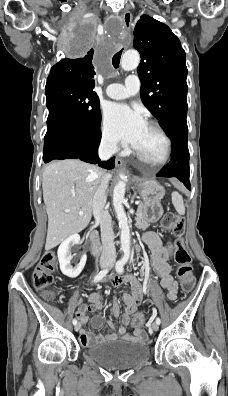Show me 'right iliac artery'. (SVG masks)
Here are the masks:
<instances>
[{
    "instance_id": "right-iliac-artery-1",
    "label": "right iliac artery",
    "mask_w": 228,
    "mask_h": 396,
    "mask_svg": "<svg viewBox=\"0 0 228 396\" xmlns=\"http://www.w3.org/2000/svg\"><path fill=\"white\" fill-rule=\"evenodd\" d=\"M108 271H109L108 268H106V269L100 271V272L95 276V278H94L93 281H94V282L100 281L103 277L106 276V274L108 273ZM72 323H73L74 325H76V324H77V320H76V319H73Z\"/></svg>"
}]
</instances>
